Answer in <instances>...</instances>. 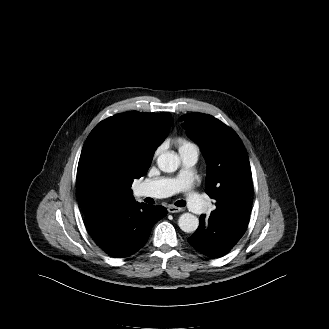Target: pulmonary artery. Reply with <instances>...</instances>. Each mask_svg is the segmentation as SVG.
I'll list each match as a JSON object with an SVG mask.
<instances>
[{"label": "pulmonary artery", "mask_w": 329, "mask_h": 329, "mask_svg": "<svg viewBox=\"0 0 329 329\" xmlns=\"http://www.w3.org/2000/svg\"><path fill=\"white\" fill-rule=\"evenodd\" d=\"M184 169L175 178H159L142 183L137 190L140 197L162 198L171 196L177 192L186 193V204L194 213H200L206 208L205 201L195 192H192L193 182L192 167L196 164L199 149L192 145L187 150L180 152Z\"/></svg>", "instance_id": "obj_1"}]
</instances>
